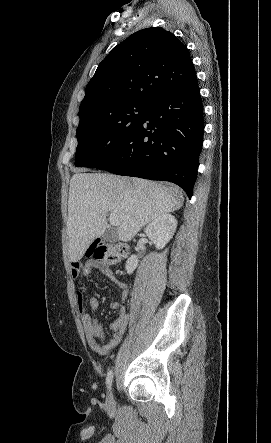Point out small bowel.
<instances>
[{
  "label": "small bowel",
  "instance_id": "c3829d8e",
  "mask_svg": "<svg viewBox=\"0 0 271 443\" xmlns=\"http://www.w3.org/2000/svg\"><path fill=\"white\" fill-rule=\"evenodd\" d=\"M96 268L117 285L121 291L120 301H114L110 304L111 309L120 311L117 319L108 325V329L111 331L110 337H107L105 325L99 322L84 306L86 299L91 311H97L99 307L97 298L86 295L84 291H79L76 301L88 346L98 354H106L121 341L129 323L130 316L126 311L129 289L124 282L115 276L110 268L95 260L88 261L85 264L73 262L71 265V275L73 278H78L80 275L89 276Z\"/></svg>",
  "mask_w": 271,
  "mask_h": 443
}]
</instances>
